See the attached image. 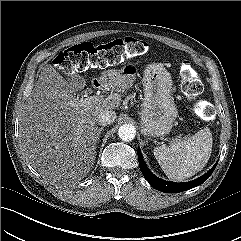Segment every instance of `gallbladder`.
Here are the masks:
<instances>
[{"label":"gallbladder","instance_id":"obj_1","mask_svg":"<svg viewBox=\"0 0 241 241\" xmlns=\"http://www.w3.org/2000/svg\"><path fill=\"white\" fill-rule=\"evenodd\" d=\"M73 81L77 83L78 89L81 90L85 86V80L83 77L74 75Z\"/></svg>","mask_w":241,"mask_h":241}]
</instances>
